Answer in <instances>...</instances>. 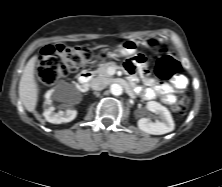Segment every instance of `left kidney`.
I'll return each instance as SVG.
<instances>
[{"label":"left kidney","mask_w":222,"mask_h":187,"mask_svg":"<svg viewBox=\"0 0 222 187\" xmlns=\"http://www.w3.org/2000/svg\"><path fill=\"white\" fill-rule=\"evenodd\" d=\"M146 107L149 111L159 115V120L152 122L149 118L139 119L138 127L140 130L152 135H162L174 130L173 118L166 107L156 101H149Z\"/></svg>","instance_id":"5707ae66"}]
</instances>
